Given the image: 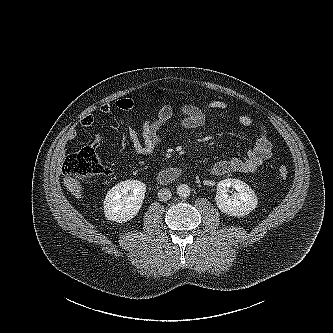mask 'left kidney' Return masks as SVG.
<instances>
[{
  "instance_id": "left-kidney-1",
  "label": "left kidney",
  "mask_w": 333,
  "mask_h": 333,
  "mask_svg": "<svg viewBox=\"0 0 333 333\" xmlns=\"http://www.w3.org/2000/svg\"><path fill=\"white\" fill-rule=\"evenodd\" d=\"M236 190L229 195V188ZM217 207L230 216H245L254 210L258 199L255 192L245 182L238 179H224L217 184Z\"/></svg>"
}]
</instances>
